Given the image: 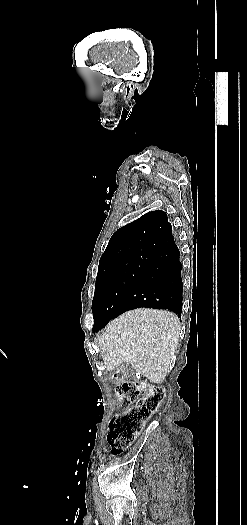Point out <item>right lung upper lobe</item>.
<instances>
[{
  "mask_svg": "<svg viewBox=\"0 0 247 525\" xmlns=\"http://www.w3.org/2000/svg\"><path fill=\"white\" fill-rule=\"evenodd\" d=\"M174 240L164 211H150L118 229L102 254L98 272L121 270L153 256Z\"/></svg>",
  "mask_w": 247,
  "mask_h": 525,
  "instance_id": "right-lung-upper-lobe-1",
  "label": "right lung upper lobe"
}]
</instances>
